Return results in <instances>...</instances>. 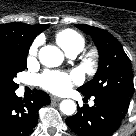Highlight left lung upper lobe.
<instances>
[{
	"label": "left lung upper lobe",
	"mask_w": 136,
	"mask_h": 136,
	"mask_svg": "<svg viewBox=\"0 0 136 136\" xmlns=\"http://www.w3.org/2000/svg\"><path fill=\"white\" fill-rule=\"evenodd\" d=\"M76 26L91 35L99 51V67L93 80L78 90L87 97L131 98L134 91L132 67L118 40L103 29L83 24Z\"/></svg>",
	"instance_id": "obj_1"
}]
</instances>
